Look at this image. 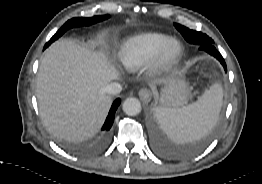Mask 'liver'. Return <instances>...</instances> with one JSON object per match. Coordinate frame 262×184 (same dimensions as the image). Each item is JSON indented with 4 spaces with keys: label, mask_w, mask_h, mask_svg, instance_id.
Returning a JSON list of instances; mask_svg holds the SVG:
<instances>
[{
    "label": "liver",
    "mask_w": 262,
    "mask_h": 184,
    "mask_svg": "<svg viewBox=\"0 0 262 184\" xmlns=\"http://www.w3.org/2000/svg\"><path fill=\"white\" fill-rule=\"evenodd\" d=\"M119 72L101 54L59 40L45 52L37 75L41 119L57 138L82 141L102 126L112 99L105 87Z\"/></svg>",
    "instance_id": "liver-1"
}]
</instances>
